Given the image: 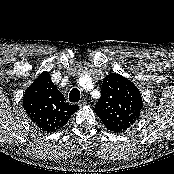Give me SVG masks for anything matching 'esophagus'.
Listing matches in <instances>:
<instances>
[{"mask_svg":"<svg viewBox=\"0 0 174 174\" xmlns=\"http://www.w3.org/2000/svg\"><path fill=\"white\" fill-rule=\"evenodd\" d=\"M87 103L86 99H82L79 102V106H84Z\"/></svg>","mask_w":174,"mask_h":174,"instance_id":"1","label":"esophagus"}]
</instances>
